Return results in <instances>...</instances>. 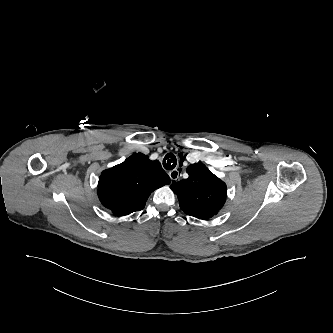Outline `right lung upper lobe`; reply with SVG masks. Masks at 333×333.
<instances>
[{"label": "right lung upper lobe", "mask_w": 333, "mask_h": 333, "mask_svg": "<svg viewBox=\"0 0 333 333\" xmlns=\"http://www.w3.org/2000/svg\"><path fill=\"white\" fill-rule=\"evenodd\" d=\"M169 183L170 178L159 161L135 153L101 173L98 197L115 215L125 216L142 210L150 193Z\"/></svg>", "instance_id": "1"}]
</instances>
